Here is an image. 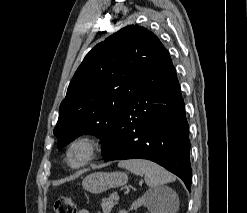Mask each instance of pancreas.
Segmentation results:
<instances>
[{
  "mask_svg": "<svg viewBox=\"0 0 247 213\" xmlns=\"http://www.w3.org/2000/svg\"><path fill=\"white\" fill-rule=\"evenodd\" d=\"M118 199L119 198L115 199L113 197V194L110 195L109 198L102 199L101 206H102L103 213H110L114 205L118 203Z\"/></svg>",
  "mask_w": 247,
  "mask_h": 213,
  "instance_id": "cf45deb5",
  "label": "pancreas"
}]
</instances>
